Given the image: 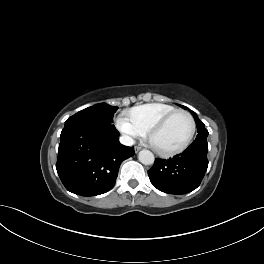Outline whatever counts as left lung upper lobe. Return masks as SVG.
<instances>
[{"mask_svg": "<svg viewBox=\"0 0 264 264\" xmlns=\"http://www.w3.org/2000/svg\"><path fill=\"white\" fill-rule=\"evenodd\" d=\"M182 106V105H180ZM184 107V106H182ZM186 108V107H184ZM193 116L195 117V122L197 124V132H198V135L196 136V139L195 140H207V136H208V130L205 128V125L204 123L197 117L196 113L193 112Z\"/></svg>", "mask_w": 264, "mask_h": 264, "instance_id": "5c2ea615", "label": "left lung upper lobe"}]
</instances>
